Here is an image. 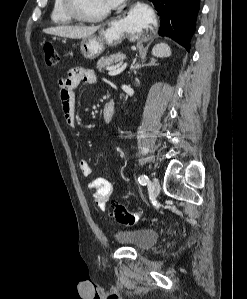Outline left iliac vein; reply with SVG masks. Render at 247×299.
Here are the masks:
<instances>
[{
  "label": "left iliac vein",
  "instance_id": "4c4485c4",
  "mask_svg": "<svg viewBox=\"0 0 247 299\" xmlns=\"http://www.w3.org/2000/svg\"><path fill=\"white\" fill-rule=\"evenodd\" d=\"M150 189L153 193L154 197H157L160 192V184L159 181L156 178H153L150 183Z\"/></svg>",
  "mask_w": 247,
  "mask_h": 299
}]
</instances>
